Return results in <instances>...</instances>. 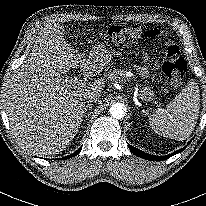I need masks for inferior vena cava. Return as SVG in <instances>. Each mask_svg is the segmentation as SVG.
Listing matches in <instances>:
<instances>
[{"mask_svg":"<svg viewBox=\"0 0 206 206\" xmlns=\"http://www.w3.org/2000/svg\"><path fill=\"white\" fill-rule=\"evenodd\" d=\"M84 98L85 99H88L90 102H97V103H99V102H101V100L99 99V97L97 96V95H95V94H92V93H87V94H85V96H84Z\"/></svg>","mask_w":206,"mask_h":206,"instance_id":"inferior-vena-cava-1","label":"inferior vena cava"}]
</instances>
